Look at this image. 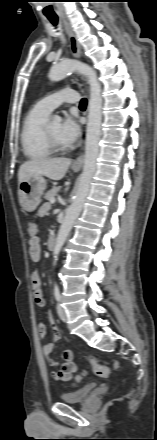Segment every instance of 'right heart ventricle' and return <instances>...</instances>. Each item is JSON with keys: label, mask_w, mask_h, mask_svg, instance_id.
<instances>
[{"label": "right heart ventricle", "mask_w": 157, "mask_h": 440, "mask_svg": "<svg viewBox=\"0 0 157 440\" xmlns=\"http://www.w3.org/2000/svg\"><path fill=\"white\" fill-rule=\"evenodd\" d=\"M47 117L48 114L41 112L35 106L28 111L23 120L21 144L25 155L29 158H43L53 153L44 136Z\"/></svg>", "instance_id": "1"}]
</instances>
